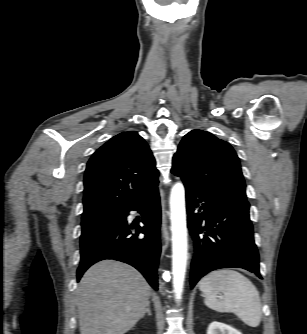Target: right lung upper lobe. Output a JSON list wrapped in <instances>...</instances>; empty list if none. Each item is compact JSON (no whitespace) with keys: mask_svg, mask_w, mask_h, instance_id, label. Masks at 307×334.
<instances>
[{"mask_svg":"<svg viewBox=\"0 0 307 334\" xmlns=\"http://www.w3.org/2000/svg\"><path fill=\"white\" fill-rule=\"evenodd\" d=\"M158 175L155 159L137 132L114 136L87 163L82 216L122 213L158 185Z\"/></svg>","mask_w":307,"mask_h":334,"instance_id":"1","label":"right lung upper lobe"}]
</instances>
